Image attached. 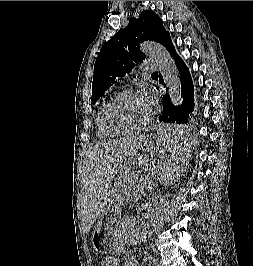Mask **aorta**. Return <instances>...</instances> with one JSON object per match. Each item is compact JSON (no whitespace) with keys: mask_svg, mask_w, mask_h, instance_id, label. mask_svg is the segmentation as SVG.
I'll list each match as a JSON object with an SVG mask.
<instances>
[{"mask_svg":"<svg viewBox=\"0 0 253 266\" xmlns=\"http://www.w3.org/2000/svg\"><path fill=\"white\" fill-rule=\"evenodd\" d=\"M141 50L153 57L159 67L165 85L169 88V95L174 106L181 103L180 78L174 61L169 52L159 43L147 42L141 45Z\"/></svg>","mask_w":253,"mask_h":266,"instance_id":"aorta-1","label":"aorta"}]
</instances>
